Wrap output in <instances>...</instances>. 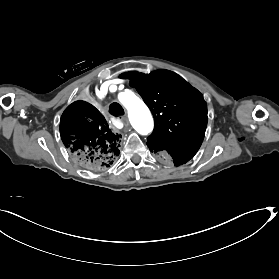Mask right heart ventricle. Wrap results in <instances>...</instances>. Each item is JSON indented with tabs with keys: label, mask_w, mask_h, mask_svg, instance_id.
Masks as SVG:
<instances>
[{
	"label": "right heart ventricle",
	"mask_w": 279,
	"mask_h": 279,
	"mask_svg": "<svg viewBox=\"0 0 279 279\" xmlns=\"http://www.w3.org/2000/svg\"><path fill=\"white\" fill-rule=\"evenodd\" d=\"M100 51L101 49H94L93 54L82 58V62L87 65H94L96 63L101 62L103 60V56L100 54ZM106 89L107 87L103 90V92ZM136 96H138L136 91L126 89L119 94L116 102L126 110L131 106Z\"/></svg>",
	"instance_id": "right-heart-ventricle-1"
}]
</instances>
